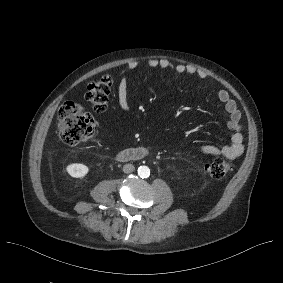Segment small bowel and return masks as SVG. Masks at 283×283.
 I'll list each match as a JSON object with an SVG mask.
<instances>
[{
    "label": "small bowel",
    "mask_w": 283,
    "mask_h": 283,
    "mask_svg": "<svg viewBox=\"0 0 283 283\" xmlns=\"http://www.w3.org/2000/svg\"><path fill=\"white\" fill-rule=\"evenodd\" d=\"M146 66L152 69L162 68L171 70L178 74H188L191 76H198L200 79L212 83L210 76L202 71H198L195 67L185 66L182 64H175L167 59H149L146 61ZM139 67V62L132 61L122 69L119 75V82L117 85V100L120 108L124 111L129 110L130 103L128 99V76ZM217 98L224 106L225 111L229 115L228 127L233 132L231 143L220 147L214 145H204L198 148V151L208 155L224 156L228 159H235L242 155L244 151L241 112L236 102L231 98L226 90H219Z\"/></svg>",
    "instance_id": "small-bowel-1"
}]
</instances>
